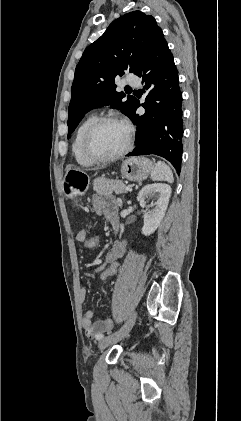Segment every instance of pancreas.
Instances as JSON below:
<instances>
[{"label": "pancreas", "instance_id": "1", "mask_svg": "<svg viewBox=\"0 0 241 421\" xmlns=\"http://www.w3.org/2000/svg\"><path fill=\"white\" fill-rule=\"evenodd\" d=\"M126 185L121 180H114V179H107V178H96L93 181V190L99 194H111L115 192V194H123L127 193L125 190Z\"/></svg>", "mask_w": 241, "mask_h": 421}]
</instances>
